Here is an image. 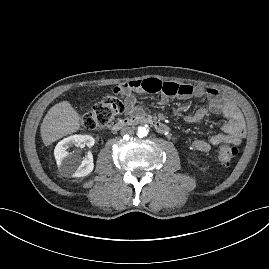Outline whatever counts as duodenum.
<instances>
[{"mask_svg": "<svg viewBox=\"0 0 269 269\" xmlns=\"http://www.w3.org/2000/svg\"><path fill=\"white\" fill-rule=\"evenodd\" d=\"M137 124H149L153 126L160 133H167L168 126L160 120L147 115V114H136L116 121L113 126V131H119L120 129L127 126H134Z\"/></svg>", "mask_w": 269, "mask_h": 269, "instance_id": "duodenum-1", "label": "duodenum"}]
</instances>
